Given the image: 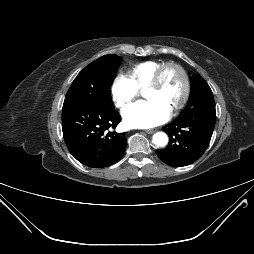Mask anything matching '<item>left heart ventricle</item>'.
Masks as SVG:
<instances>
[{"label":"left heart ventricle","instance_id":"left-heart-ventricle-1","mask_svg":"<svg viewBox=\"0 0 254 254\" xmlns=\"http://www.w3.org/2000/svg\"><path fill=\"white\" fill-rule=\"evenodd\" d=\"M183 92V80L180 73L174 68H168L162 75L159 87L149 89L146 98L155 100L171 111L178 103Z\"/></svg>","mask_w":254,"mask_h":254}]
</instances>
